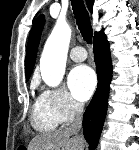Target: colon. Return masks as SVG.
Masks as SVG:
<instances>
[{"instance_id": "obj_1", "label": "colon", "mask_w": 139, "mask_h": 150, "mask_svg": "<svg viewBox=\"0 0 139 150\" xmlns=\"http://www.w3.org/2000/svg\"><path fill=\"white\" fill-rule=\"evenodd\" d=\"M17 150H26V148L25 147H23V146H20V147H18V149Z\"/></svg>"}]
</instances>
